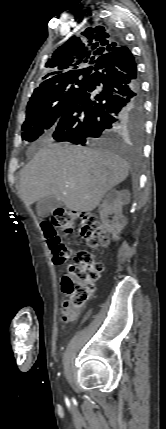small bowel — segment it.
<instances>
[{
    "label": "small bowel",
    "mask_w": 166,
    "mask_h": 429,
    "mask_svg": "<svg viewBox=\"0 0 166 429\" xmlns=\"http://www.w3.org/2000/svg\"><path fill=\"white\" fill-rule=\"evenodd\" d=\"M79 313L77 307L72 306L68 302H63L61 310V321L64 323L73 321Z\"/></svg>",
    "instance_id": "c3829d8e"
}]
</instances>
